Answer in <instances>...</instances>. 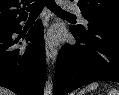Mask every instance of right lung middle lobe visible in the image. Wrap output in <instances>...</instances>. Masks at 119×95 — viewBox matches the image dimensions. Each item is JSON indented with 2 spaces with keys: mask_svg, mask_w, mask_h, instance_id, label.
Here are the masks:
<instances>
[{
  "mask_svg": "<svg viewBox=\"0 0 119 95\" xmlns=\"http://www.w3.org/2000/svg\"><path fill=\"white\" fill-rule=\"evenodd\" d=\"M6 29H8V28L0 29V32L4 31V30H6Z\"/></svg>",
  "mask_w": 119,
  "mask_h": 95,
  "instance_id": "1",
  "label": "right lung middle lobe"
}]
</instances>
